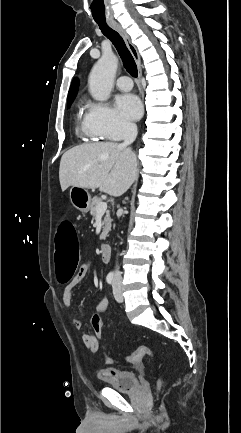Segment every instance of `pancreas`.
Listing matches in <instances>:
<instances>
[{
  "label": "pancreas",
  "mask_w": 241,
  "mask_h": 433,
  "mask_svg": "<svg viewBox=\"0 0 241 433\" xmlns=\"http://www.w3.org/2000/svg\"><path fill=\"white\" fill-rule=\"evenodd\" d=\"M102 200L98 197H94L91 200V204H90V215L95 219L97 216V212H96V207L99 203H101ZM111 217H110V212L107 211L106 215L103 217V230L102 233L100 235V240H104L108 234V232L111 229Z\"/></svg>",
  "instance_id": "cf45deb5"
}]
</instances>
